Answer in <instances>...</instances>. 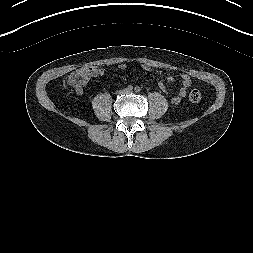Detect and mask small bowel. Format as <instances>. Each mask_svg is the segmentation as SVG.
<instances>
[{"mask_svg":"<svg viewBox=\"0 0 253 253\" xmlns=\"http://www.w3.org/2000/svg\"><path fill=\"white\" fill-rule=\"evenodd\" d=\"M123 67V64L122 66ZM104 73V71L102 69H96L95 70V75H102ZM181 80H182V87L179 91L178 95L173 96L172 101L173 102H178L180 100L181 97H184L188 90L190 89V87L192 86V80L191 77L188 74H181ZM170 82H174V79L171 78ZM163 89H165L164 86H162ZM77 93H81L82 92V88L76 90Z\"/></svg>","mask_w":253,"mask_h":253,"instance_id":"obj_1","label":"small bowel"}]
</instances>
